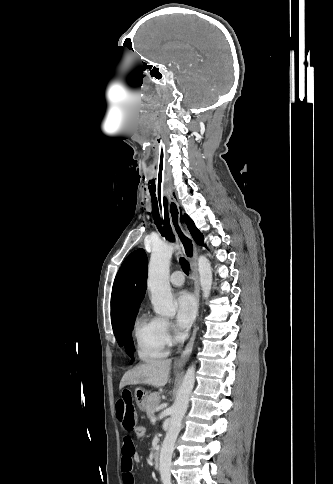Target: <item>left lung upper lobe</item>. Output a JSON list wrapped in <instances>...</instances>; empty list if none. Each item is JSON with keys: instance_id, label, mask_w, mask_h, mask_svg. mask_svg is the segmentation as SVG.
Here are the masks:
<instances>
[{"instance_id": "1", "label": "left lung upper lobe", "mask_w": 333, "mask_h": 484, "mask_svg": "<svg viewBox=\"0 0 333 484\" xmlns=\"http://www.w3.org/2000/svg\"><path fill=\"white\" fill-rule=\"evenodd\" d=\"M184 221L186 222L188 229L193 236L194 240L197 242L199 245H203V236L200 233V231L195 227L193 221L190 219L188 215H184L183 217Z\"/></svg>"}]
</instances>
